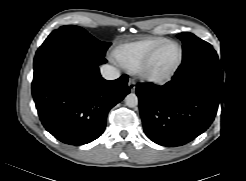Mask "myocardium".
I'll list each match as a JSON object with an SVG mask.
<instances>
[{"label":"myocardium","mask_w":246,"mask_h":181,"mask_svg":"<svg viewBox=\"0 0 246 181\" xmlns=\"http://www.w3.org/2000/svg\"><path fill=\"white\" fill-rule=\"evenodd\" d=\"M170 45H175V46H177V49H178V56H177L175 63L165 73L154 74L152 72V66H153L154 62L156 61L158 56L161 54V52L166 47H168ZM182 56H183V50H182V46L179 43H177L176 41L165 42V43L161 44L159 47H157L151 54H149L141 62V64L139 65V68L142 71V73L148 78H155L156 77V78L166 80V79L170 78L176 72V70L178 69V67L182 61Z\"/></svg>","instance_id":"f54148a6"}]
</instances>
